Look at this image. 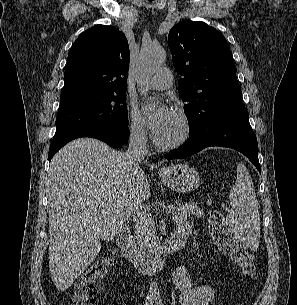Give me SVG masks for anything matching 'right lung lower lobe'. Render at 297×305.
I'll use <instances>...</instances> for the list:
<instances>
[{"instance_id":"obj_1","label":"right lung lower lobe","mask_w":297,"mask_h":305,"mask_svg":"<svg viewBox=\"0 0 297 305\" xmlns=\"http://www.w3.org/2000/svg\"><path fill=\"white\" fill-rule=\"evenodd\" d=\"M80 137L96 138L107 143L111 147H118L127 142L129 138V130L127 127H94L79 131L62 141L59 145L50 146L49 160H51L54 154L66 143Z\"/></svg>"}]
</instances>
